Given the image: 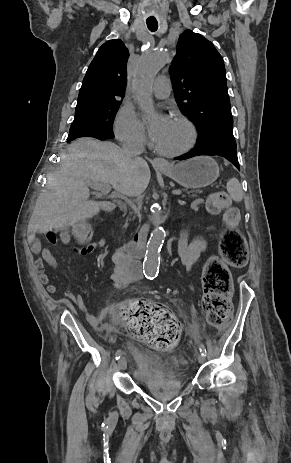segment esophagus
<instances>
[{
  "instance_id": "34e87169",
  "label": "esophagus",
  "mask_w": 291,
  "mask_h": 463,
  "mask_svg": "<svg viewBox=\"0 0 291 463\" xmlns=\"http://www.w3.org/2000/svg\"><path fill=\"white\" fill-rule=\"evenodd\" d=\"M153 164L161 167L167 166V162L162 158H154Z\"/></svg>"
}]
</instances>
